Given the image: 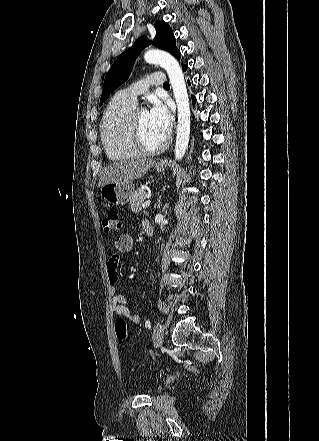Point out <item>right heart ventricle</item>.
<instances>
[{"mask_svg":"<svg viewBox=\"0 0 319 441\" xmlns=\"http://www.w3.org/2000/svg\"><path fill=\"white\" fill-rule=\"evenodd\" d=\"M135 103L117 94L108 103L100 125L101 140L107 156L112 160L138 156L129 137V123Z\"/></svg>","mask_w":319,"mask_h":441,"instance_id":"1","label":"right heart ventricle"}]
</instances>
